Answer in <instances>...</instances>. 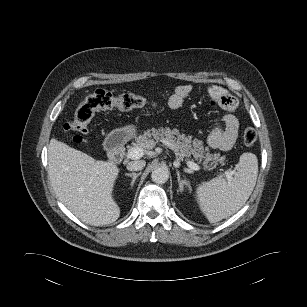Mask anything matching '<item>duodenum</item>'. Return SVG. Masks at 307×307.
Returning <instances> with one entry per match:
<instances>
[{"label": "duodenum", "mask_w": 307, "mask_h": 307, "mask_svg": "<svg viewBox=\"0 0 307 307\" xmlns=\"http://www.w3.org/2000/svg\"><path fill=\"white\" fill-rule=\"evenodd\" d=\"M108 160L111 163H119L122 161L125 153V141L123 133L111 135L106 142Z\"/></svg>", "instance_id": "duodenum-1"}]
</instances>
